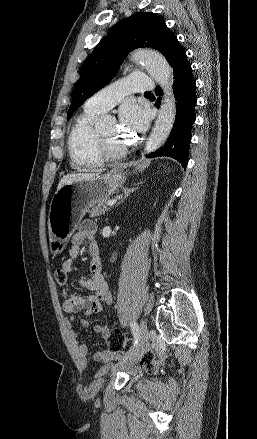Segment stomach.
Instances as JSON below:
<instances>
[{"label": "stomach", "mask_w": 257, "mask_h": 439, "mask_svg": "<svg viewBox=\"0 0 257 439\" xmlns=\"http://www.w3.org/2000/svg\"><path fill=\"white\" fill-rule=\"evenodd\" d=\"M146 162L136 170L146 168ZM126 177L120 169L91 179L66 184L54 194L48 215L49 245L54 254L61 253L75 231L85 209L100 198H108L123 185Z\"/></svg>", "instance_id": "stomach-1"}]
</instances>
